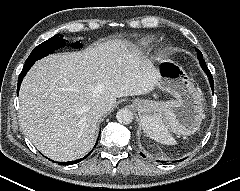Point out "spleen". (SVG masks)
Instances as JSON below:
<instances>
[{
	"mask_svg": "<svg viewBox=\"0 0 240 191\" xmlns=\"http://www.w3.org/2000/svg\"><path fill=\"white\" fill-rule=\"evenodd\" d=\"M143 130L150 138L166 145H175L176 140L169 132L170 125L159 115L144 116L141 119Z\"/></svg>",
	"mask_w": 240,
	"mask_h": 191,
	"instance_id": "obj_1",
	"label": "spleen"
}]
</instances>
